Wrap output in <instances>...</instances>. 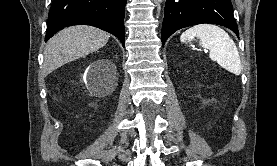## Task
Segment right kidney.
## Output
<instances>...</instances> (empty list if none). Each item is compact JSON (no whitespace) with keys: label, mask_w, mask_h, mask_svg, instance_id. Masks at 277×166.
Masks as SVG:
<instances>
[{"label":"right kidney","mask_w":277,"mask_h":166,"mask_svg":"<svg viewBox=\"0 0 277 166\" xmlns=\"http://www.w3.org/2000/svg\"><path fill=\"white\" fill-rule=\"evenodd\" d=\"M105 63H106V61H103V60H102V61L96 62V63H95L96 69L102 67V65H104ZM89 75H92V73H89ZM86 76H87V75L85 74V76H84V80H85V81H86Z\"/></svg>","instance_id":"1"}]
</instances>
